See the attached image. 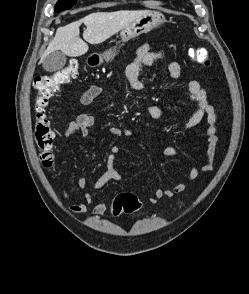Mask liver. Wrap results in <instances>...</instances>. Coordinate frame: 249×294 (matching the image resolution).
I'll list each match as a JSON object with an SVG mask.
<instances>
[{"label": "liver", "instance_id": "6515ba94", "mask_svg": "<svg viewBox=\"0 0 249 294\" xmlns=\"http://www.w3.org/2000/svg\"><path fill=\"white\" fill-rule=\"evenodd\" d=\"M147 12V10L96 12L64 27H59L54 39L42 55L41 61L50 53L59 50L70 57L84 55L89 49L87 42L100 44ZM82 23L86 26L83 32L85 41L80 38L79 28Z\"/></svg>", "mask_w": 249, "mask_h": 294}]
</instances>
